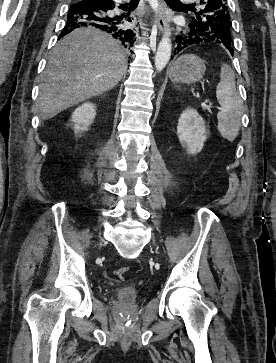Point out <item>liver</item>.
Wrapping results in <instances>:
<instances>
[{
	"label": "liver",
	"mask_w": 276,
	"mask_h": 363,
	"mask_svg": "<svg viewBox=\"0 0 276 363\" xmlns=\"http://www.w3.org/2000/svg\"><path fill=\"white\" fill-rule=\"evenodd\" d=\"M126 64L120 42L111 35L92 27L75 29L53 48L42 74L40 118L50 119L111 90L126 73Z\"/></svg>",
	"instance_id": "obj_1"
}]
</instances>
